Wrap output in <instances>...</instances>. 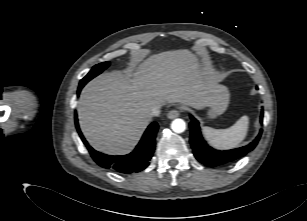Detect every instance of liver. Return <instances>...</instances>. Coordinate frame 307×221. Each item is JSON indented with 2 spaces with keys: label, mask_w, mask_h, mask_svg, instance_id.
I'll use <instances>...</instances> for the list:
<instances>
[{
  "label": "liver",
  "mask_w": 307,
  "mask_h": 221,
  "mask_svg": "<svg viewBox=\"0 0 307 221\" xmlns=\"http://www.w3.org/2000/svg\"><path fill=\"white\" fill-rule=\"evenodd\" d=\"M218 86L190 51L162 52L134 72L113 71L90 81L78 102L79 125L96 150L126 154L148 126L152 107L180 103L202 109L214 100Z\"/></svg>",
  "instance_id": "1"
}]
</instances>
